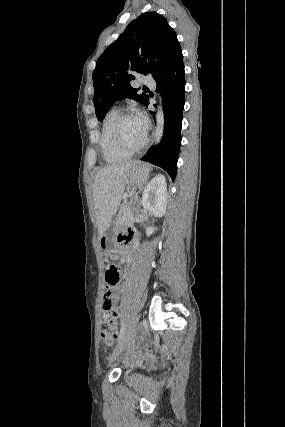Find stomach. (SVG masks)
Here are the masks:
<instances>
[{"label": "stomach", "instance_id": "obj_1", "mask_svg": "<svg viewBox=\"0 0 285 427\" xmlns=\"http://www.w3.org/2000/svg\"><path fill=\"white\" fill-rule=\"evenodd\" d=\"M150 173V167L147 164L136 163L132 166L129 173L127 190L142 189L146 184ZM117 226L111 223L104 234L99 238V244L104 253L111 250L113 246V237L115 235Z\"/></svg>", "mask_w": 285, "mask_h": 427}]
</instances>
